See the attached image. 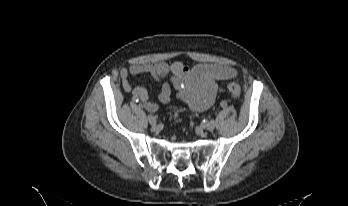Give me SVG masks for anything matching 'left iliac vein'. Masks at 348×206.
<instances>
[{"label":"left iliac vein","mask_w":348,"mask_h":206,"mask_svg":"<svg viewBox=\"0 0 348 206\" xmlns=\"http://www.w3.org/2000/svg\"><path fill=\"white\" fill-rule=\"evenodd\" d=\"M216 126V122L214 120H211L208 122V124L206 125V129L208 131H213L215 129Z\"/></svg>","instance_id":"left-iliac-vein-1"}]
</instances>
